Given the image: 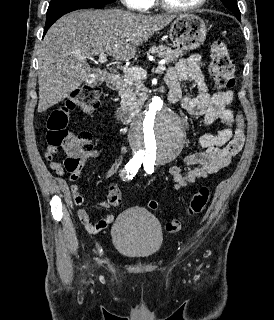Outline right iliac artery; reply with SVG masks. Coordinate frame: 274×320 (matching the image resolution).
Returning <instances> with one entry per match:
<instances>
[{
    "label": "right iliac artery",
    "instance_id": "obj_1",
    "mask_svg": "<svg viewBox=\"0 0 274 320\" xmlns=\"http://www.w3.org/2000/svg\"><path fill=\"white\" fill-rule=\"evenodd\" d=\"M142 162L143 161L141 159H139V158H132L126 164V171H128V174H133L134 175L138 171V169L140 168Z\"/></svg>",
    "mask_w": 274,
    "mask_h": 320
}]
</instances>
